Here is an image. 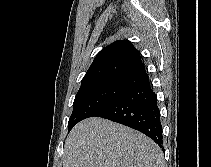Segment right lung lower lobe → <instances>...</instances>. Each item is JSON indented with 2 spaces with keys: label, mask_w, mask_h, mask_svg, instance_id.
Here are the masks:
<instances>
[{
  "label": "right lung lower lobe",
  "mask_w": 211,
  "mask_h": 167,
  "mask_svg": "<svg viewBox=\"0 0 211 167\" xmlns=\"http://www.w3.org/2000/svg\"><path fill=\"white\" fill-rule=\"evenodd\" d=\"M131 82V86L124 93L93 116L136 129L163 147L160 110L149 76L143 71L133 77Z\"/></svg>",
  "instance_id": "98d812e1"
}]
</instances>
